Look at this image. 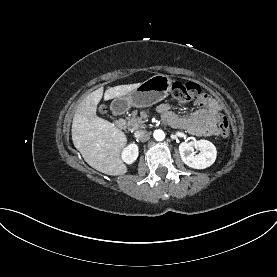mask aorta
Wrapping results in <instances>:
<instances>
[{"label": "aorta", "instance_id": "1", "mask_svg": "<svg viewBox=\"0 0 277 277\" xmlns=\"http://www.w3.org/2000/svg\"><path fill=\"white\" fill-rule=\"evenodd\" d=\"M153 135L157 141H162L165 138V133L162 130H155Z\"/></svg>", "mask_w": 277, "mask_h": 277}]
</instances>
